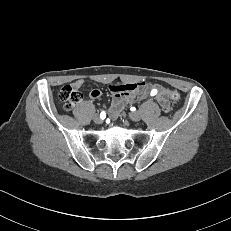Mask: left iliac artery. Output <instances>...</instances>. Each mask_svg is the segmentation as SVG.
Listing matches in <instances>:
<instances>
[{
    "instance_id": "44dca946",
    "label": "left iliac artery",
    "mask_w": 231,
    "mask_h": 231,
    "mask_svg": "<svg viewBox=\"0 0 231 231\" xmlns=\"http://www.w3.org/2000/svg\"><path fill=\"white\" fill-rule=\"evenodd\" d=\"M150 94H151V96H155L157 94V90L153 89Z\"/></svg>"
}]
</instances>
